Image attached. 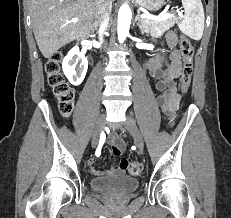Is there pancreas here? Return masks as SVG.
Listing matches in <instances>:
<instances>
[{
    "mask_svg": "<svg viewBox=\"0 0 231 218\" xmlns=\"http://www.w3.org/2000/svg\"><path fill=\"white\" fill-rule=\"evenodd\" d=\"M176 22L175 17H170L165 20H154L143 18L141 20V26L144 32L150 34L153 37H161L165 31L173 27Z\"/></svg>",
    "mask_w": 231,
    "mask_h": 218,
    "instance_id": "1",
    "label": "pancreas"
}]
</instances>
